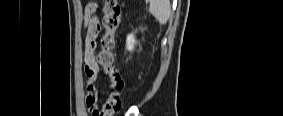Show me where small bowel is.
Masks as SVG:
<instances>
[{"label": "small bowel", "instance_id": "obj_1", "mask_svg": "<svg viewBox=\"0 0 283 116\" xmlns=\"http://www.w3.org/2000/svg\"><path fill=\"white\" fill-rule=\"evenodd\" d=\"M92 7H88L85 12V23L87 34L85 40V74L88 78V93L86 95V106L93 112L98 107L99 97L96 82L99 76V64L97 60L98 38L101 27L97 18L92 16ZM99 115L94 116H102Z\"/></svg>", "mask_w": 283, "mask_h": 116}]
</instances>
